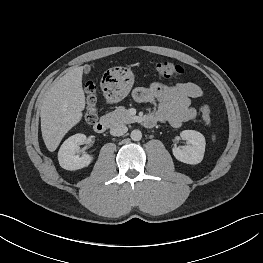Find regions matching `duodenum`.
I'll list each match as a JSON object with an SVG mask.
<instances>
[{"instance_id": "duodenum-1", "label": "duodenum", "mask_w": 263, "mask_h": 263, "mask_svg": "<svg viewBox=\"0 0 263 263\" xmlns=\"http://www.w3.org/2000/svg\"><path fill=\"white\" fill-rule=\"evenodd\" d=\"M109 123H110L109 119L103 118L101 120H98L94 124L93 129L98 134L105 133L106 130L108 129ZM144 125L146 127L154 126L155 125L154 119L152 117H150V116L146 117L145 120H144Z\"/></svg>"}]
</instances>
